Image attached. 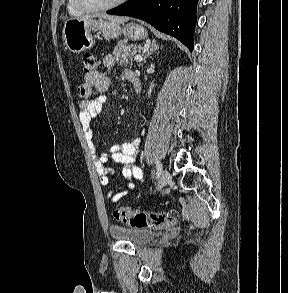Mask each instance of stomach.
Returning <instances> with one entry per match:
<instances>
[{"label":"stomach","instance_id":"0dacf381","mask_svg":"<svg viewBox=\"0 0 288 293\" xmlns=\"http://www.w3.org/2000/svg\"><path fill=\"white\" fill-rule=\"evenodd\" d=\"M97 31L111 39L117 38L120 34H124L134 41L145 39L148 36L146 29L134 22L123 23L121 27L120 23L105 21L102 18H69L63 27L64 45L73 53L90 49L95 44L93 32Z\"/></svg>","mask_w":288,"mask_h":293}]
</instances>
